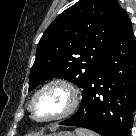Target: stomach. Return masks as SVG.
Instances as JSON below:
<instances>
[{"label": "stomach", "instance_id": "1", "mask_svg": "<svg viewBox=\"0 0 136 136\" xmlns=\"http://www.w3.org/2000/svg\"><path fill=\"white\" fill-rule=\"evenodd\" d=\"M50 136H74V135L70 132L63 131V132H59L57 134H53V135H50Z\"/></svg>", "mask_w": 136, "mask_h": 136}]
</instances>
